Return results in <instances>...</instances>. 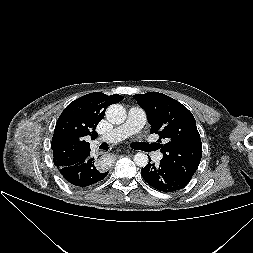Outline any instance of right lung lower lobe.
Here are the masks:
<instances>
[{
	"mask_svg": "<svg viewBox=\"0 0 253 253\" xmlns=\"http://www.w3.org/2000/svg\"><path fill=\"white\" fill-rule=\"evenodd\" d=\"M63 178L77 187H87L103 180L108 172L97 169L94 158L88 157L74 165L58 168Z\"/></svg>",
	"mask_w": 253,
	"mask_h": 253,
	"instance_id": "98d812e1",
	"label": "right lung lower lobe"
}]
</instances>
